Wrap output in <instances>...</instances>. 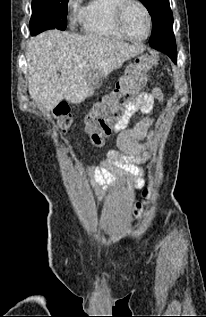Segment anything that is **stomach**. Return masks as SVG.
<instances>
[{
    "label": "stomach",
    "mask_w": 206,
    "mask_h": 317,
    "mask_svg": "<svg viewBox=\"0 0 206 317\" xmlns=\"http://www.w3.org/2000/svg\"><path fill=\"white\" fill-rule=\"evenodd\" d=\"M139 57H148L147 55H141ZM138 58V57H137ZM137 58L133 59V63H125L124 69L134 68L137 64ZM101 75V77H100ZM116 72H111L110 69H101V70H91L88 74V82L86 85V90L90 91L92 94H105L106 91H112L116 87Z\"/></svg>",
    "instance_id": "1"
}]
</instances>
